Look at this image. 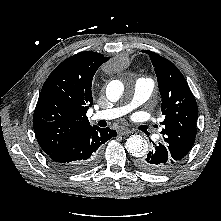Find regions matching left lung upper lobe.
Listing matches in <instances>:
<instances>
[{"mask_svg":"<svg viewBox=\"0 0 221 221\" xmlns=\"http://www.w3.org/2000/svg\"><path fill=\"white\" fill-rule=\"evenodd\" d=\"M146 52L152 61L162 97L161 134L164 143L177 162L191 150L197 130L198 107L196 100L179 69L166 58L151 51Z\"/></svg>","mask_w":221,"mask_h":221,"instance_id":"5c2ea615","label":"left lung upper lobe"}]
</instances>
